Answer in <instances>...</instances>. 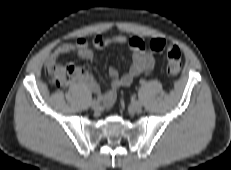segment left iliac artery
I'll return each instance as SVG.
<instances>
[{"label": "left iliac artery", "mask_w": 231, "mask_h": 170, "mask_svg": "<svg viewBox=\"0 0 231 170\" xmlns=\"http://www.w3.org/2000/svg\"><path fill=\"white\" fill-rule=\"evenodd\" d=\"M140 83L143 85V84L145 83V81H144V80H142V81H140Z\"/></svg>", "instance_id": "obj_1"}]
</instances>
